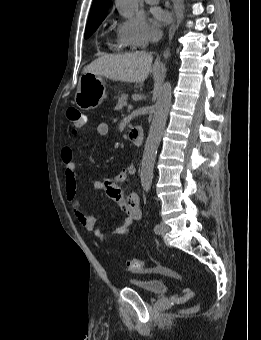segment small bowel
I'll return each instance as SVG.
<instances>
[{
    "mask_svg": "<svg viewBox=\"0 0 261 340\" xmlns=\"http://www.w3.org/2000/svg\"><path fill=\"white\" fill-rule=\"evenodd\" d=\"M97 133L100 136H107L109 133L108 124H98ZM61 159L65 165L66 197L74 216L81 226L85 230L92 232L95 237L100 240L107 239L108 236L105 231L96 226V219L84 211L77 198V182L75 176L76 164L73 159V151L69 146L62 148ZM135 173V166L129 165L113 178H108L106 180L92 179L93 187L97 190L104 191L107 197L111 201L115 202L126 214L119 226L113 229L114 234L126 233L133 223L141 219L142 212L139 196L134 192L125 194L121 188V183H123L128 177L135 175Z\"/></svg>",
    "mask_w": 261,
    "mask_h": 340,
    "instance_id": "c3829d8e",
    "label": "small bowel"
}]
</instances>
